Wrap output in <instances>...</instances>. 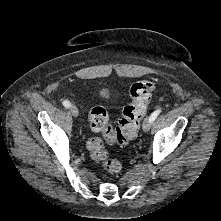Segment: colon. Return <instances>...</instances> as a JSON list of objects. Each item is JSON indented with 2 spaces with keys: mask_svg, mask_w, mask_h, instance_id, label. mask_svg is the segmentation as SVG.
<instances>
[{
  "mask_svg": "<svg viewBox=\"0 0 221 221\" xmlns=\"http://www.w3.org/2000/svg\"><path fill=\"white\" fill-rule=\"evenodd\" d=\"M155 88L156 83L151 80L135 83L130 90L131 103L123 109L116 127L111 124L108 113L102 106H95L90 110L89 126L92 131L101 133L103 138H90L87 147L90 157L100 163L109 175H118L122 170V164L119 160L109 157L106 144L127 145L137 136L140 122Z\"/></svg>",
  "mask_w": 221,
  "mask_h": 221,
  "instance_id": "5ec220e1",
  "label": "colon"
}]
</instances>
